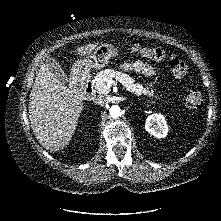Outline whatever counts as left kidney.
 <instances>
[{"instance_id":"1","label":"left kidney","mask_w":221,"mask_h":221,"mask_svg":"<svg viewBox=\"0 0 221 221\" xmlns=\"http://www.w3.org/2000/svg\"><path fill=\"white\" fill-rule=\"evenodd\" d=\"M145 129L157 138H164L168 133L167 123L164 116L161 114H152L148 116L145 123Z\"/></svg>"}]
</instances>
